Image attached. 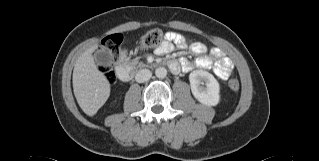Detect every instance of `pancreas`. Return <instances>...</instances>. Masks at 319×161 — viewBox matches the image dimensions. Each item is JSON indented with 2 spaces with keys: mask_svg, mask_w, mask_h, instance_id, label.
Here are the masks:
<instances>
[{
  "mask_svg": "<svg viewBox=\"0 0 319 161\" xmlns=\"http://www.w3.org/2000/svg\"><path fill=\"white\" fill-rule=\"evenodd\" d=\"M130 64L133 66V67H144L145 64L143 62H139L138 59H133L131 60Z\"/></svg>",
  "mask_w": 319,
  "mask_h": 161,
  "instance_id": "cf45deb5",
  "label": "pancreas"
}]
</instances>
